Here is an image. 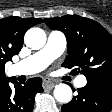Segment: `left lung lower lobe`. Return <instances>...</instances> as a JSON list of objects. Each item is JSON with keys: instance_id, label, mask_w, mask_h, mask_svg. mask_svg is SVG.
I'll return each instance as SVG.
<instances>
[{"instance_id": "0a47b994", "label": "left lung lower lobe", "mask_w": 112, "mask_h": 112, "mask_svg": "<svg viewBox=\"0 0 112 112\" xmlns=\"http://www.w3.org/2000/svg\"><path fill=\"white\" fill-rule=\"evenodd\" d=\"M112 109V84L87 82L78 88V95L64 104L62 112H110Z\"/></svg>"}]
</instances>
